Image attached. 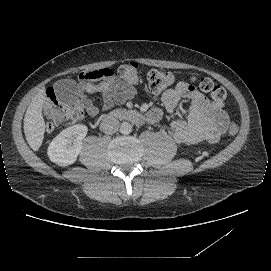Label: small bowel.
Instances as JSON below:
<instances>
[{
	"label": "small bowel",
	"mask_w": 271,
	"mask_h": 271,
	"mask_svg": "<svg viewBox=\"0 0 271 271\" xmlns=\"http://www.w3.org/2000/svg\"><path fill=\"white\" fill-rule=\"evenodd\" d=\"M78 88L79 103L90 115H96L98 109L88 99V95L102 94V110L107 111L114 105L123 104L135 96V89L125 85L115 77L110 69L89 70L80 73ZM182 100L189 103V113L185 118H176L170 123V134L178 143L192 144L200 141L216 142L226 131L229 120L223 110V104L207 99L192 85L179 82L174 88L165 91L161 101L168 113L176 114ZM162 117L159 109L148 112L147 118L156 123Z\"/></svg>",
	"instance_id": "small-bowel-1"
}]
</instances>
